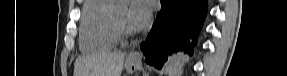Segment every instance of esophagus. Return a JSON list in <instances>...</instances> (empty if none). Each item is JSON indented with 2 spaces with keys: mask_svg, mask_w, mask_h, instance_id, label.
Masks as SVG:
<instances>
[{
  "mask_svg": "<svg viewBox=\"0 0 287 76\" xmlns=\"http://www.w3.org/2000/svg\"><path fill=\"white\" fill-rule=\"evenodd\" d=\"M129 58L132 60H138L139 61L142 59V56L139 52H132V53H130Z\"/></svg>",
  "mask_w": 287,
  "mask_h": 76,
  "instance_id": "1",
  "label": "esophagus"
}]
</instances>
